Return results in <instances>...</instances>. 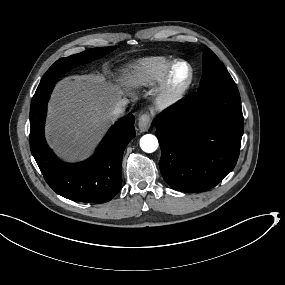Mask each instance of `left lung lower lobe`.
<instances>
[{"mask_svg": "<svg viewBox=\"0 0 285 285\" xmlns=\"http://www.w3.org/2000/svg\"><path fill=\"white\" fill-rule=\"evenodd\" d=\"M243 123L237 86L209 88L158 115L164 180L188 193L216 186L236 165Z\"/></svg>", "mask_w": 285, "mask_h": 285, "instance_id": "left-lung-lower-lobe-1", "label": "left lung lower lobe"}]
</instances>
